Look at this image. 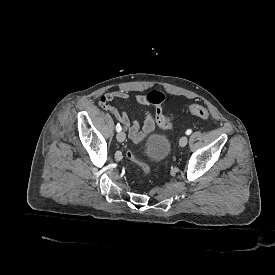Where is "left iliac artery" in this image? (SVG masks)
I'll list each match as a JSON object with an SVG mask.
<instances>
[{"mask_svg":"<svg viewBox=\"0 0 275 275\" xmlns=\"http://www.w3.org/2000/svg\"><path fill=\"white\" fill-rule=\"evenodd\" d=\"M185 133H186V135H190L192 133V130L188 129Z\"/></svg>","mask_w":275,"mask_h":275,"instance_id":"1","label":"left iliac artery"}]
</instances>
